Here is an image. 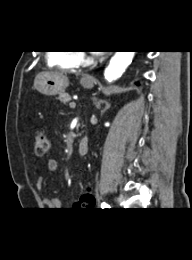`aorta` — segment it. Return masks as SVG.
I'll return each instance as SVG.
<instances>
[{
  "mask_svg": "<svg viewBox=\"0 0 192 260\" xmlns=\"http://www.w3.org/2000/svg\"><path fill=\"white\" fill-rule=\"evenodd\" d=\"M134 55L135 51H117L104 71L105 79L108 82H113L121 77L132 62Z\"/></svg>",
  "mask_w": 192,
  "mask_h": 260,
  "instance_id": "obj_1",
  "label": "aorta"
}]
</instances>
